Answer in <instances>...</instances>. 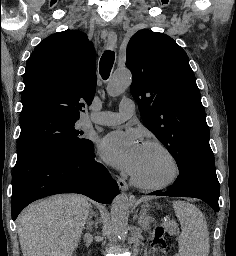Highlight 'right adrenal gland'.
<instances>
[{
    "instance_id": "1",
    "label": "right adrenal gland",
    "mask_w": 236,
    "mask_h": 256,
    "mask_svg": "<svg viewBox=\"0 0 236 256\" xmlns=\"http://www.w3.org/2000/svg\"><path fill=\"white\" fill-rule=\"evenodd\" d=\"M91 208H92V206H91ZM92 216H94V218H97L96 212H93V210H90V216H88L87 226H86V230H88V232H92V228H97V226H98L97 220H96V222H91Z\"/></svg>"
}]
</instances>
